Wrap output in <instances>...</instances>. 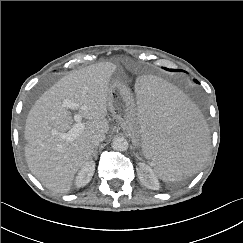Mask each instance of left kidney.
Instances as JSON below:
<instances>
[{
	"mask_svg": "<svg viewBox=\"0 0 243 243\" xmlns=\"http://www.w3.org/2000/svg\"><path fill=\"white\" fill-rule=\"evenodd\" d=\"M136 170L138 177L144 186L152 190H158L159 182L153 170L148 165L145 163H138Z\"/></svg>",
	"mask_w": 243,
	"mask_h": 243,
	"instance_id": "left-kidney-1",
	"label": "left kidney"
}]
</instances>
